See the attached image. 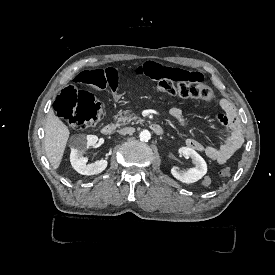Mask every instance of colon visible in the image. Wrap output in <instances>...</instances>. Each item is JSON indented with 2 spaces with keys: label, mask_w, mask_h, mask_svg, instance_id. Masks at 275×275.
I'll list each match as a JSON object with an SVG mask.
<instances>
[{
  "label": "colon",
  "mask_w": 275,
  "mask_h": 275,
  "mask_svg": "<svg viewBox=\"0 0 275 275\" xmlns=\"http://www.w3.org/2000/svg\"><path fill=\"white\" fill-rule=\"evenodd\" d=\"M106 84L103 72H93L92 68H77L73 86L65 87L54 100L55 113L64 118L73 129L94 127L102 118L103 104L89 92H107ZM79 88H84L85 91ZM157 91L163 97L195 98L210 103L216 101L214 91L203 83L192 85L189 82L162 79L157 84ZM220 175L230 177V168H222Z\"/></svg>",
  "instance_id": "obj_1"
}]
</instances>
